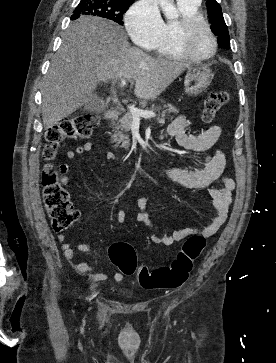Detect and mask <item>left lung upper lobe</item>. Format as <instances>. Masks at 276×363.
<instances>
[{"label":"left lung upper lobe","mask_w":276,"mask_h":363,"mask_svg":"<svg viewBox=\"0 0 276 363\" xmlns=\"http://www.w3.org/2000/svg\"><path fill=\"white\" fill-rule=\"evenodd\" d=\"M208 14L211 22L212 32L218 36L217 42L223 48H229L230 37L228 29L225 24L221 7L216 0H208L207 3Z\"/></svg>","instance_id":"1"}]
</instances>
